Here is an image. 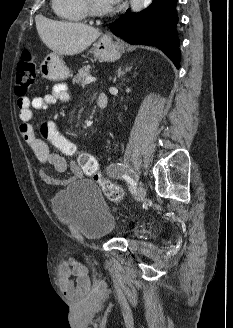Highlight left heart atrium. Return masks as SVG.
Listing matches in <instances>:
<instances>
[{
    "label": "left heart atrium",
    "mask_w": 233,
    "mask_h": 328,
    "mask_svg": "<svg viewBox=\"0 0 233 328\" xmlns=\"http://www.w3.org/2000/svg\"><path fill=\"white\" fill-rule=\"evenodd\" d=\"M107 6H114L119 3L120 0H101Z\"/></svg>",
    "instance_id": "obj_1"
}]
</instances>
